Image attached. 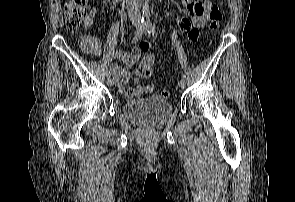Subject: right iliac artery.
<instances>
[{
	"mask_svg": "<svg viewBox=\"0 0 295 202\" xmlns=\"http://www.w3.org/2000/svg\"><path fill=\"white\" fill-rule=\"evenodd\" d=\"M144 29H145V24L143 22H141L140 25L138 26L136 32H135V35H134V38H133V41L132 42L136 43V42H138L141 39V37L143 35V32H144ZM106 76L107 77L108 76H111L110 70H108L106 72Z\"/></svg>",
	"mask_w": 295,
	"mask_h": 202,
	"instance_id": "82829eb1",
	"label": "right iliac artery"
}]
</instances>
